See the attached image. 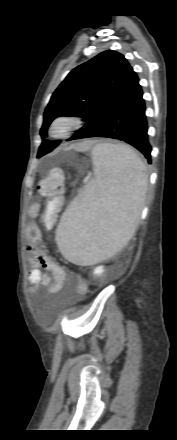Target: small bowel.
I'll use <instances>...</instances> for the list:
<instances>
[{
	"label": "small bowel",
	"instance_id": "c3829d8e",
	"mask_svg": "<svg viewBox=\"0 0 177 440\" xmlns=\"http://www.w3.org/2000/svg\"><path fill=\"white\" fill-rule=\"evenodd\" d=\"M42 206L39 202L32 204L29 208V215L36 219L42 215ZM28 236L31 245L28 247V262L30 268L28 271V280L35 287H43L47 293L55 294L64 288L68 282L64 268L55 262L41 245L40 230L36 222H32L28 228ZM45 269L50 274L43 272ZM75 289L78 295H85L88 292V285L79 280ZM31 292L35 288L30 289Z\"/></svg>",
	"mask_w": 177,
	"mask_h": 440
}]
</instances>
